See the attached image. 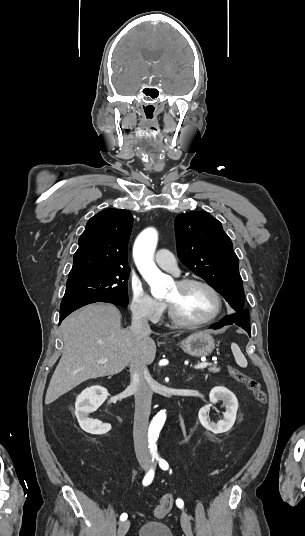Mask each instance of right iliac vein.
I'll return each mask as SVG.
<instances>
[{
  "label": "right iliac vein",
  "instance_id": "63e3f726",
  "mask_svg": "<svg viewBox=\"0 0 305 536\" xmlns=\"http://www.w3.org/2000/svg\"><path fill=\"white\" fill-rule=\"evenodd\" d=\"M129 526L130 522L128 520L121 522L118 528V536H125L129 529Z\"/></svg>",
  "mask_w": 305,
  "mask_h": 536
}]
</instances>
